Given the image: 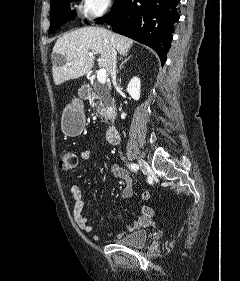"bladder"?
I'll list each match as a JSON object with an SVG mask.
<instances>
[{
    "mask_svg": "<svg viewBox=\"0 0 240 281\" xmlns=\"http://www.w3.org/2000/svg\"><path fill=\"white\" fill-rule=\"evenodd\" d=\"M149 239V234L146 230H137L119 238L116 243L129 247L143 246Z\"/></svg>",
    "mask_w": 240,
    "mask_h": 281,
    "instance_id": "1",
    "label": "bladder"
}]
</instances>
